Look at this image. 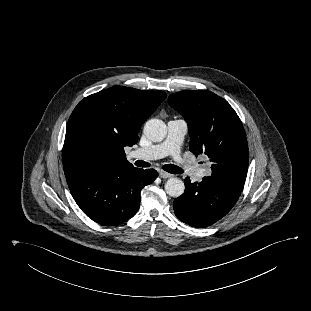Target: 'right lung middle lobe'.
Listing matches in <instances>:
<instances>
[{"label":"right lung middle lobe","mask_w":311,"mask_h":311,"mask_svg":"<svg viewBox=\"0 0 311 311\" xmlns=\"http://www.w3.org/2000/svg\"><path fill=\"white\" fill-rule=\"evenodd\" d=\"M95 146L92 142L82 139L75 152L76 162L80 165H87L94 157Z\"/></svg>","instance_id":"right-lung-middle-lobe-1"}]
</instances>
